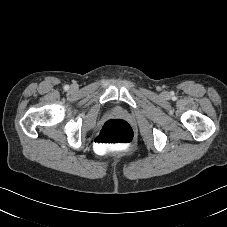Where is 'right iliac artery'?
Returning a JSON list of instances; mask_svg holds the SVG:
<instances>
[{"label": "right iliac artery", "instance_id": "right-iliac-artery-1", "mask_svg": "<svg viewBox=\"0 0 227 227\" xmlns=\"http://www.w3.org/2000/svg\"><path fill=\"white\" fill-rule=\"evenodd\" d=\"M64 89H65V90H68V89H69V86H68V85H65V86H64Z\"/></svg>", "mask_w": 227, "mask_h": 227}]
</instances>
